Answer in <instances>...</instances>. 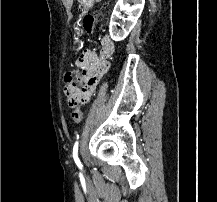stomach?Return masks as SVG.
<instances>
[{
  "label": "stomach",
  "mask_w": 217,
  "mask_h": 202,
  "mask_svg": "<svg viewBox=\"0 0 217 202\" xmlns=\"http://www.w3.org/2000/svg\"><path fill=\"white\" fill-rule=\"evenodd\" d=\"M80 8L82 10V16L87 14L88 10L94 6V0H78Z\"/></svg>",
  "instance_id": "stomach-1"
}]
</instances>
